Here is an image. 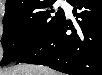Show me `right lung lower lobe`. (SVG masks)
Returning <instances> with one entry per match:
<instances>
[{
  "mask_svg": "<svg viewBox=\"0 0 102 75\" xmlns=\"http://www.w3.org/2000/svg\"><path fill=\"white\" fill-rule=\"evenodd\" d=\"M68 3L74 7L76 23L64 17L40 45L16 63L46 65L69 75H102V1Z\"/></svg>",
  "mask_w": 102,
  "mask_h": 75,
  "instance_id": "right-lung-lower-lobe-1",
  "label": "right lung lower lobe"
}]
</instances>
